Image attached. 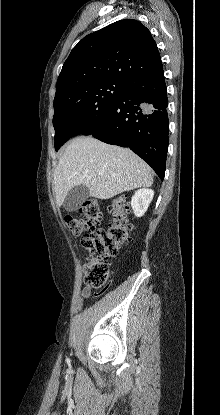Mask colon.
I'll return each instance as SVG.
<instances>
[{
    "label": "colon",
    "mask_w": 220,
    "mask_h": 415,
    "mask_svg": "<svg viewBox=\"0 0 220 415\" xmlns=\"http://www.w3.org/2000/svg\"><path fill=\"white\" fill-rule=\"evenodd\" d=\"M110 211L112 221L106 229L98 228L103 211L94 199L85 201L78 215L65 216L67 229L74 235H82V246L89 253L88 262L84 266V282L96 289L106 287L111 275L107 259L117 256L121 246L131 239L135 229L124 198L113 199Z\"/></svg>",
    "instance_id": "obj_1"
}]
</instances>
